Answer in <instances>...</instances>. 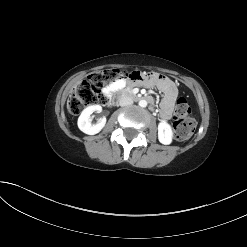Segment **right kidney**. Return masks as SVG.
I'll list each match as a JSON object with an SVG mask.
<instances>
[{"label": "right kidney", "instance_id": "ca27d5eb", "mask_svg": "<svg viewBox=\"0 0 247 247\" xmlns=\"http://www.w3.org/2000/svg\"><path fill=\"white\" fill-rule=\"evenodd\" d=\"M102 107L100 105H92L85 108L78 118V128L88 135H95L99 133L106 124V118L102 117L98 119L96 124H91L90 116L93 112L100 113Z\"/></svg>", "mask_w": 247, "mask_h": 247}]
</instances>
